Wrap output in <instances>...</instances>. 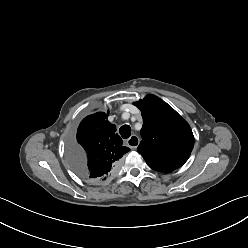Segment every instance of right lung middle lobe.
Instances as JSON below:
<instances>
[{
    "mask_svg": "<svg viewBox=\"0 0 248 248\" xmlns=\"http://www.w3.org/2000/svg\"><path fill=\"white\" fill-rule=\"evenodd\" d=\"M68 158L72 168L75 170L76 173L82 174L83 173V165L85 161V154L84 152L78 148L75 143H70L68 146Z\"/></svg>",
    "mask_w": 248,
    "mask_h": 248,
    "instance_id": "1",
    "label": "right lung middle lobe"
}]
</instances>
